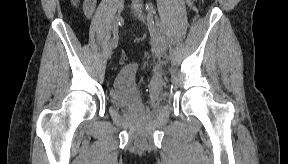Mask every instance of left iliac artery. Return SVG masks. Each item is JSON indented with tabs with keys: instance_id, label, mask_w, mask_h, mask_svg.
Wrapping results in <instances>:
<instances>
[{
	"instance_id": "obj_1",
	"label": "left iliac artery",
	"mask_w": 288,
	"mask_h": 164,
	"mask_svg": "<svg viewBox=\"0 0 288 164\" xmlns=\"http://www.w3.org/2000/svg\"><path fill=\"white\" fill-rule=\"evenodd\" d=\"M147 8L150 10V15L153 16L154 21L153 23H155L156 26L159 25V20H158V16L156 15L155 10L153 9L152 5L147 6Z\"/></svg>"
}]
</instances>
